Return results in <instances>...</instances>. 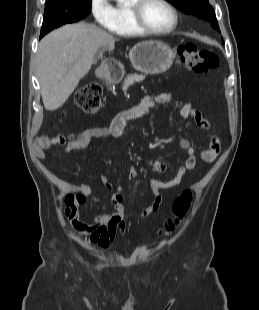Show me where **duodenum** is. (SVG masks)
Here are the masks:
<instances>
[{
  "label": "duodenum",
  "mask_w": 259,
  "mask_h": 310,
  "mask_svg": "<svg viewBox=\"0 0 259 310\" xmlns=\"http://www.w3.org/2000/svg\"><path fill=\"white\" fill-rule=\"evenodd\" d=\"M120 75V68L114 62L106 64L101 69V77L105 80L115 81L120 77Z\"/></svg>",
  "instance_id": "obj_1"
}]
</instances>
